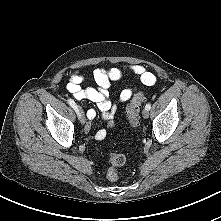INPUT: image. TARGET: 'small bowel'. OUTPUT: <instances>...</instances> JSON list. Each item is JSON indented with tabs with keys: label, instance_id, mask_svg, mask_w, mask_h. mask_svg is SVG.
Masks as SVG:
<instances>
[{
	"label": "small bowel",
	"instance_id": "obj_1",
	"mask_svg": "<svg viewBox=\"0 0 221 221\" xmlns=\"http://www.w3.org/2000/svg\"><path fill=\"white\" fill-rule=\"evenodd\" d=\"M129 72L134 76H138L141 83L151 86L155 83V75L148 71L141 64H123L121 67H114L109 70L103 68H95L92 75L96 83V87H84L83 82L85 75L80 70H74L69 74V82L66 85L67 91L77 100H90L94 102L102 113V117L107 120V127L110 129L114 126V117L116 114V106L110 100L109 88L113 82L122 79L124 74ZM136 86H129L123 89L119 94V101H128L136 92ZM88 123L85 125V132L91 129L90 121L96 117V111L89 109L86 113ZM107 135L106 129L98 130L93 138L101 141Z\"/></svg>",
	"mask_w": 221,
	"mask_h": 221
}]
</instances>
